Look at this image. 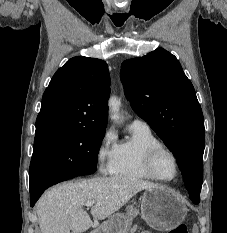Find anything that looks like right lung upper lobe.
Wrapping results in <instances>:
<instances>
[{
	"instance_id": "1",
	"label": "right lung upper lobe",
	"mask_w": 227,
	"mask_h": 233,
	"mask_svg": "<svg viewBox=\"0 0 227 233\" xmlns=\"http://www.w3.org/2000/svg\"><path fill=\"white\" fill-rule=\"evenodd\" d=\"M109 94L105 61L71 58L57 70L43 94L36 133L54 128H105Z\"/></svg>"
}]
</instances>
